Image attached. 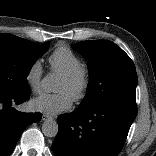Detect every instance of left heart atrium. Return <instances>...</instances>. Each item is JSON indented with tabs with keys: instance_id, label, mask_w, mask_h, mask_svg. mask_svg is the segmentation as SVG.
Here are the masks:
<instances>
[{
	"instance_id": "39dd6f15",
	"label": "left heart atrium",
	"mask_w": 156,
	"mask_h": 156,
	"mask_svg": "<svg viewBox=\"0 0 156 156\" xmlns=\"http://www.w3.org/2000/svg\"><path fill=\"white\" fill-rule=\"evenodd\" d=\"M72 102L73 100L68 94L58 92L56 94H42L34 98L31 104L36 111L56 115L69 110L72 107Z\"/></svg>"
}]
</instances>
